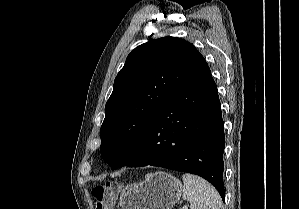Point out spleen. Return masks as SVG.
I'll use <instances>...</instances> for the list:
<instances>
[{"label": "spleen", "mask_w": 299, "mask_h": 209, "mask_svg": "<svg viewBox=\"0 0 299 209\" xmlns=\"http://www.w3.org/2000/svg\"><path fill=\"white\" fill-rule=\"evenodd\" d=\"M182 196L190 202V209H221V197L217 190L203 178L185 173Z\"/></svg>", "instance_id": "3e777b00"}]
</instances>
